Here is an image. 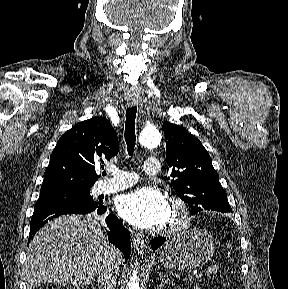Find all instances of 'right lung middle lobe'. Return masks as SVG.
Returning <instances> with one entry per match:
<instances>
[{
  "label": "right lung middle lobe",
  "instance_id": "1",
  "mask_svg": "<svg viewBox=\"0 0 288 289\" xmlns=\"http://www.w3.org/2000/svg\"><path fill=\"white\" fill-rule=\"evenodd\" d=\"M90 188H48L41 189L35 206L66 204L83 208H94L97 203L90 195Z\"/></svg>",
  "mask_w": 288,
  "mask_h": 289
}]
</instances>
